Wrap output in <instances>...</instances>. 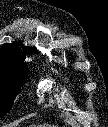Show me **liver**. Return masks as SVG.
<instances>
[{"label":"liver","mask_w":108,"mask_h":127,"mask_svg":"<svg viewBox=\"0 0 108 127\" xmlns=\"http://www.w3.org/2000/svg\"><path fill=\"white\" fill-rule=\"evenodd\" d=\"M30 127H52V126H50V125H48V124H44L43 126H36V125H32V126H30Z\"/></svg>","instance_id":"6515ba94"}]
</instances>
